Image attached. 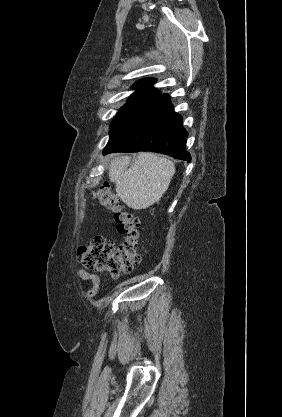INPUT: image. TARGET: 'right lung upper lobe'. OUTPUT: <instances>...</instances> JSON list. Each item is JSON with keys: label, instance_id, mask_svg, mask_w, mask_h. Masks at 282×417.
Segmentation results:
<instances>
[{"label": "right lung upper lobe", "instance_id": "cb5924a9", "mask_svg": "<svg viewBox=\"0 0 282 417\" xmlns=\"http://www.w3.org/2000/svg\"><path fill=\"white\" fill-rule=\"evenodd\" d=\"M155 82L154 79H143L137 82L133 88L138 89L135 93H145V94H157L162 95L159 91L155 90L152 87V84Z\"/></svg>", "mask_w": 282, "mask_h": 417}]
</instances>
